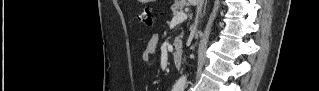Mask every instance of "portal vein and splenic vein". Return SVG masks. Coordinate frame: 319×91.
Wrapping results in <instances>:
<instances>
[{
	"label": "portal vein and splenic vein",
	"mask_w": 319,
	"mask_h": 91,
	"mask_svg": "<svg viewBox=\"0 0 319 91\" xmlns=\"http://www.w3.org/2000/svg\"><path fill=\"white\" fill-rule=\"evenodd\" d=\"M187 19V14L184 12H177L174 14L172 18V23L179 24L182 23L184 20Z\"/></svg>",
	"instance_id": "1"
}]
</instances>
